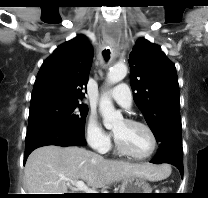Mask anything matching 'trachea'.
Here are the masks:
<instances>
[{
	"label": "trachea",
	"instance_id": "1",
	"mask_svg": "<svg viewBox=\"0 0 208 198\" xmlns=\"http://www.w3.org/2000/svg\"><path fill=\"white\" fill-rule=\"evenodd\" d=\"M103 57L104 59L107 61L110 58V52H108L107 50L103 51Z\"/></svg>",
	"mask_w": 208,
	"mask_h": 198
}]
</instances>
